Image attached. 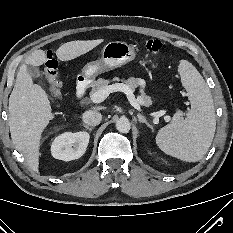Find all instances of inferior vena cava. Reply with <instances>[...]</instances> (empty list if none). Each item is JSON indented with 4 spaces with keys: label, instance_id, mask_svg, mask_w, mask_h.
Instances as JSON below:
<instances>
[{
    "label": "inferior vena cava",
    "instance_id": "1",
    "mask_svg": "<svg viewBox=\"0 0 233 233\" xmlns=\"http://www.w3.org/2000/svg\"><path fill=\"white\" fill-rule=\"evenodd\" d=\"M82 120L88 126H96L100 124L102 115L98 111L89 110L84 112Z\"/></svg>",
    "mask_w": 233,
    "mask_h": 233
}]
</instances>
